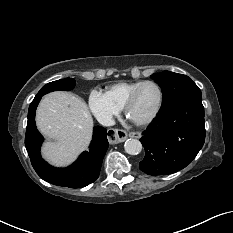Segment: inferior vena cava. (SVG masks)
<instances>
[{"label":"inferior vena cava","mask_w":233,"mask_h":233,"mask_svg":"<svg viewBox=\"0 0 233 233\" xmlns=\"http://www.w3.org/2000/svg\"><path fill=\"white\" fill-rule=\"evenodd\" d=\"M98 121L104 126H113L115 124V121L110 115H103L99 118Z\"/></svg>","instance_id":"inferior-vena-cava-1"}]
</instances>
